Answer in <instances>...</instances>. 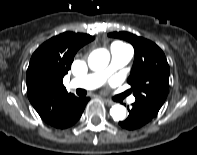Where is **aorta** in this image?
Returning <instances> with one entry per match:
<instances>
[{
    "label": "aorta",
    "mask_w": 197,
    "mask_h": 155,
    "mask_svg": "<svg viewBox=\"0 0 197 155\" xmlns=\"http://www.w3.org/2000/svg\"><path fill=\"white\" fill-rule=\"evenodd\" d=\"M110 60V53L106 49H96L88 57V65L94 71H100L107 67ZM110 115L115 121L124 120L126 108L123 105L115 104L110 109Z\"/></svg>",
    "instance_id": "aorta-1"
}]
</instances>
